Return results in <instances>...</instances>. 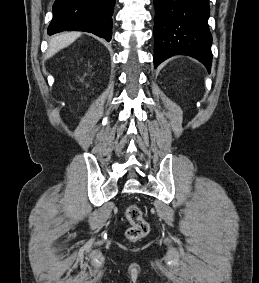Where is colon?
<instances>
[{
	"label": "colon",
	"instance_id": "1",
	"mask_svg": "<svg viewBox=\"0 0 259 283\" xmlns=\"http://www.w3.org/2000/svg\"><path fill=\"white\" fill-rule=\"evenodd\" d=\"M129 227L126 236L131 241H136L144 237L149 231L148 222L145 220L142 210L136 204L130 205L125 212Z\"/></svg>",
	"mask_w": 259,
	"mask_h": 283
}]
</instances>
